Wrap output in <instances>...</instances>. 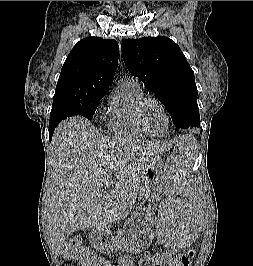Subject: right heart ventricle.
Segmentation results:
<instances>
[{
  "instance_id": "1",
  "label": "right heart ventricle",
  "mask_w": 253,
  "mask_h": 266,
  "mask_svg": "<svg viewBox=\"0 0 253 266\" xmlns=\"http://www.w3.org/2000/svg\"><path fill=\"white\" fill-rule=\"evenodd\" d=\"M142 97L143 89L135 80L125 79L115 88L107 111V126L113 134L133 139L147 136L134 117L135 106Z\"/></svg>"
}]
</instances>
